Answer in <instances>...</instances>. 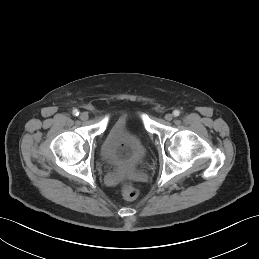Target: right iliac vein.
<instances>
[{"instance_id": "63e3f726", "label": "right iliac vein", "mask_w": 259, "mask_h": 259, "mask_svg": "<svg viewBox=\"0 0 259 259\" xmlns=\"http://www.w3.org/2000/svg\"><path fill=\"white\" fill-rule=\"evenodd\" d=\"M88 117L89 116H88V114L86 112H83V113L80 114V119L83 120V121L87 120Z\"/></svg>"}]
</instances>
